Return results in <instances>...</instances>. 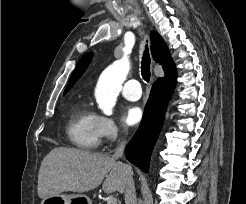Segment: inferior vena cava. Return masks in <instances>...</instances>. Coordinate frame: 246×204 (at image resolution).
I'll return each instance as SVG.
<instances>
[{
    "instance_id": "1",
    "label": "inferior vena cava",
    "mask_w": 246,
    "mask_h": 204,
    "mask_svg": "<svg viewBox=\"0 0 246 204\" xmlns=\"http://www.w3.org/2000/svg\"><path fill=\"white\" fill-rule=\"evenodd\" d=\"M125 148V141H121L113 155V158L119 159L123 156ZM125 168L129 174L125 188V204H137L135 184L132 177V169L130 166L125 165Z\"/></svg>"
}]
</instances>
